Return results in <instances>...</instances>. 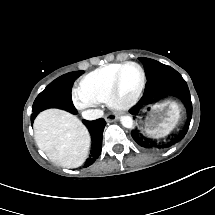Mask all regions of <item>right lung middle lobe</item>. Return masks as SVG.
Wrapping results in <instances>:
<instances>
[{
	"mask_svg": "<svg viewBox=\"0 0 215 215\" xmlns=\"http://www.w3.org/2000/svg\"><path fill=\"white\" fill-rule=\"evenodd\" d=\"M82 73L83 71L71 72L50 83L36 98L31 118H35L40 111L53 107L62 108L75 114L77 111L72 103L71 88L75 79Z\"/></svg>",
	"mask_w": 215,
	"mask_h": 215,
	"instance_id": "right-lung-middle-lobe-1",
	"label": "right lung middle lobe"
}]
</instances>
